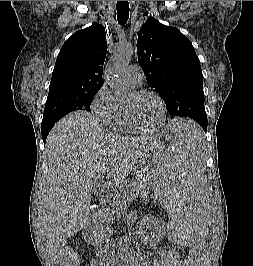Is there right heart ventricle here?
<instances>
[{"label": "right heart ventricle", "mask_w": 253, "mask_h": 266, "mask_svg": "<svg viewBox=\"0 0 253 266\" xmlns=\"http://www.w3.org/2000/svg\"><path fill=\"white\" fill-rule=\"evenodd\" d=\"M111 127L121 133H133L134 130L129 124L128 117L125 111V106L118 103L117 112L111 122Z\"/></svg>", "instance_id": "obj_1"}]
</instances>
